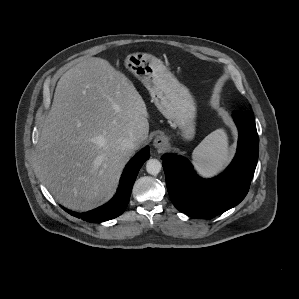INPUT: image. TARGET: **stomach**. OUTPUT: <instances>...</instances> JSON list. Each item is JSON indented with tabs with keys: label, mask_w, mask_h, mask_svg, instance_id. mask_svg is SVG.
<instances>
[{
	"label": "stomach",
	"mask_w": 299,
	"mask_h": 299,
	"mask_svg": "<svg viewBox=\"0 0 299 299\" xmlns=\"http://www.w3.org/2000/svg\"><path fill=\"white\" fill-rule=\"evenodd\" d=\"M125 65L150 92L158 110L180 130L181 137L192 140L195 136L196 105L189 90L151 55L130 54Z\"/></svg>",
	"instance_id": "stomach-1"
}]
</instances>
